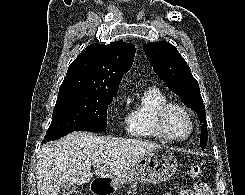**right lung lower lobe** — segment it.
I'll return each mask as SVG.
<instances>
[{
    "label": "right lung lower lobe",
    "mask_w": 245,
    "mask_h": 195,
    "mask_svg": "<svg viewBox=\"0 0 245 195\" xmlns=\"http://www.w3.org/2000/svg\"><path fill=\"white\" fill-rule=\"evenodd\" d=\"M104 130H106V127H88L78 131H104Z\"/></svg>",
    "instance_id": "obj_1"
}]
</instances>
